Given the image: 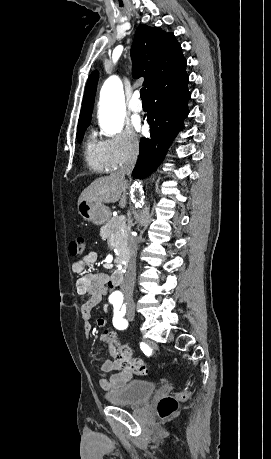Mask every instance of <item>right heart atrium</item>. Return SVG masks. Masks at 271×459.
<instances>
[{
	"label": "right heart atrium",
	"mask_w": 271,
	"mask_h": 459,
	"mask_svg": "<svg viewBox=\"0 0 271 459\" xmlns=\"http://www.w3.org/2000/svg\"><path fill=\"white\" fill-rule=\"evenodd\" d=\"M100 144L112 169L119 167L125 161L134 160L140 152V141L129 127L118 130Z\"/></svg>",
	"instance_id": "1"
}]
</instances>
